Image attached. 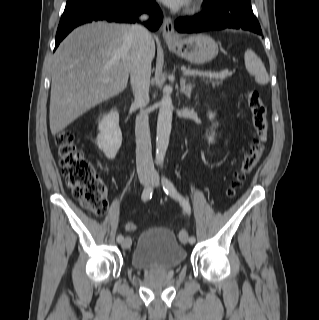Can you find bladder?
I'll list each match as a JSON object with an SVG mask.
<instances>
[{"label":"bladder","instance_id":"obj_1","mask_svg":"<svg viewBox=\"0 0 319 320\" xmlns=\"http://www.w3.org/2000/svg\"><path fill=\"white\" fill-rule=\"evenodd\" d=\"M187 258V251L175 234L166 228L142 231L130 255V265L135 270L174 269Z\"/></svg>","mask_w":319,"mask_h":320}]
</instances>
